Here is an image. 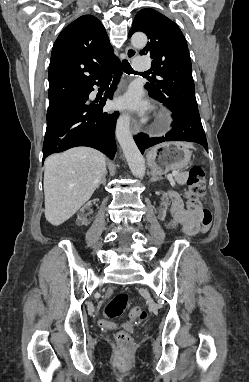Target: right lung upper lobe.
<instances>
[{"label": "right lung upper lobe", "instance_id": "cb5924a9", "mask_svg": "<svg viewBox=\"0 0 249 382\" xmlns=\"http://www.w3.org/2000/svg\"><path fill=\"white\" fill-rule=\"evenodd\" d=\"M117 59L101 22L92 15L79 17L54 43L48 73L49 103L82 92Z\"/></svg>", "mask_w": 249, "mask_h": 382}]
</instances>
